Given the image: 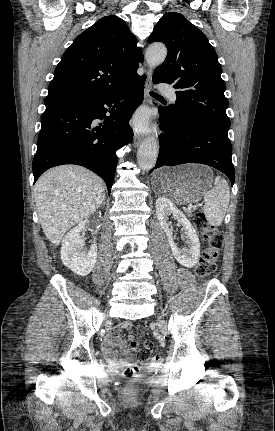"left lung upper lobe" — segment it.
<instances>
[{
    "instance_id": "left-lung-upper-lobe-1",
    "label": "left lung upper lobe",
    "mask_w": 275,
    "mask_h": 431,
    "mask_svg": "<svg viewBox=\"0 0 275 431\" xmlns=\"http://www.w3.org/2000/svg\"><path fill=\"white\" fill-rule=\"evenodd\" d=\"M163 42L168 55L155 69L153 80L172 84L177 100L168 106L175 116L192 117L230 126L222 67L207 37L183 15L165 13L148 39Z\"/></svg>"
}]
</instances>
